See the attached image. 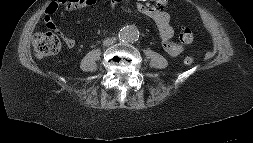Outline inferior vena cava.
<instances>
[{"mask_svg":"<svg viewBox=\"0 0 253 143\" xmlns=\"http://www.w3.org/2000/svg\"><path fill=\"white\" fill-rule=\"evenodd\" d=\"M115 41H116L115 38H107V39H105V40L103 41V45H104V46H110V45L114 44Z\"/></svg>","mask_w":253,"mask_h":143,"instance_id":"1","label":"inferior vena cava"}]
</instances>
